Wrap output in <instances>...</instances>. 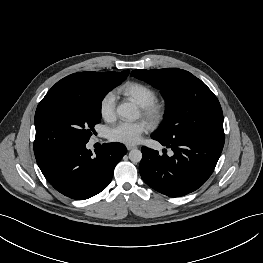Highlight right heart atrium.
<instances>
[{
  "label": "right heart atrium",
  "instance_id": "right-heart-atrium-1",
  "mask_svg": "<svg viewBox=\"0 0 263 263\" xmlns=\"http://www.w3.org/2000/svg\"><path fill=\"white\" fill-rule=\"evenodd\" d=\"M99 114L107 122H112L116 117V102L113 93L103 95L99 102Z\"/></svg>",
  "mask_w": 263,
  "mask_h": 263
}]
</instances>
